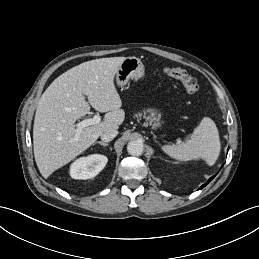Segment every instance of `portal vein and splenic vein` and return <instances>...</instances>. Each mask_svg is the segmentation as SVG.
<instances>
[{"label": "portal vein and splenic vein", "instance_id": "18ae733b", "mask_svg": "<svg viewBox=\"0 0 259 259\" xmlns=\"http://www.w3.org/2000/svg\"><path fill=\"white\" fill-rule=\"evenodd\" d=\"M100 121H101L100 115L96 114V115H94L93 118L85 119V120H83L81 122H78L76 124L77 129H76L75 140H78V138L80 136V133H81L83 128L88 127V126H92V125H95V124H98V123H100Z\"/></svg>", "mask_w": 259, "mask_h": 259}]
</instances>
